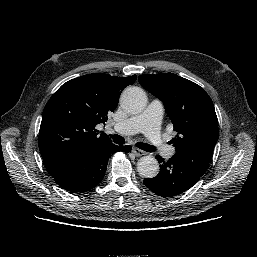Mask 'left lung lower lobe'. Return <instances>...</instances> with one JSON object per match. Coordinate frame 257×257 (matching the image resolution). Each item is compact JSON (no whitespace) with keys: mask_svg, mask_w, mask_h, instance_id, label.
Instances as JSON below:
<instances>
[{"mask_svg":"<svg viewBox=\"0 0 257 257\" xmlns=\"http://www.w3.org/2000/svg\"><path fill=\"white\" fill-rule=\"evenodd\" d=\"M160 165V172L154 178L144 179V184L161 197H173L191 188L205 173L207 167L193 160L189 156L179 153L167 162L156 156Z\"/></svg>","mask_w":257,"mask_h":257,"instance_id":"left-lung-lower-lobe-1","label":"left lung lower lobe"}]
</instances>
